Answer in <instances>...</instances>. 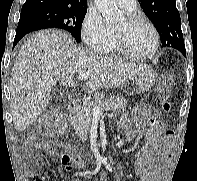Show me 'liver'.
Segmentation results:
<instances>
[{"label": "liver", "instance_id": "6515ba94", "mask_svg": "<svg viewBox=\"0 0 197 181\" xmlns=\"http://www.w3.org/2000/svg\"><path fill=\"white\" fill-rule=\"evenodd\" d=\"M147 65L100 56L73 45L67 33L40 31L21 47L10 78L11 109L17 130L24 131L43 112L52 87L74 86L75 73L88 76L92 90L117 88L148 69Z\"/></svg>", "mask_w": 197, "mask_h": 181}]
</instances>
